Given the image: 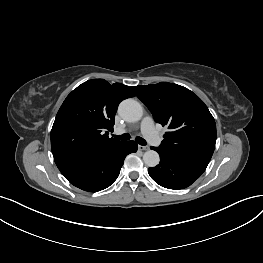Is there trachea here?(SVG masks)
I'll use <instances>...</instances> for the list:
<instances>
[{"label": "trachea", "instance_id": "obj_1", "mask_svg": "<svg viewBox=\"0 0 263 263\" xmlns=\"http://www.w3.org/2000/svg\"><path fill=\"white\" fill-rule=\"evenodd\" d=\"M116 139L118 140H129L130 139V135L128 133L122 134V135H113ZM137 141L138 144L145 146L147 144L146 140H144L142 137H136L135 139Z\"/></svg>", "mask_w": 263, "mask_h": 263}]
</instances>
